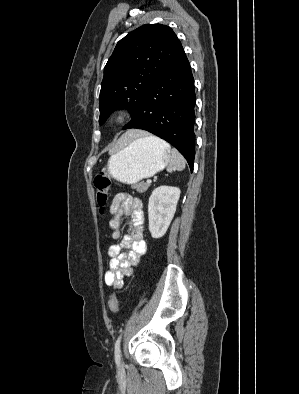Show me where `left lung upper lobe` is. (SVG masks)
Segmentation results:
<instances>
[{
  "label": "left lung upper lobe",
  "mask_w": 299,
  "mask_h": 394,
  "mask_svg": "<svg viewBox=\"0 0 299 394\" xmlns=\"http://www.w3.org/2000/svg\"><path fill=\"white\" fill-rule=\"evenodd\" d=\"M182 52L176 34L162 24L142 25L122 38L104 68L99 124L117 109L133 115L151 84Z\"/></svg>",
  "instance_id": "obj_1"
}]
</instances>
